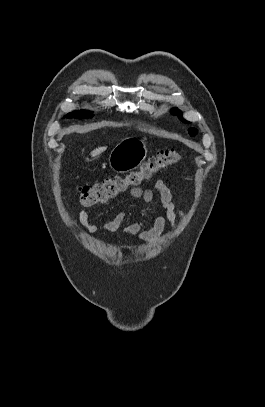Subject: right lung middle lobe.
<instances>
[{
	"mask_svg": "<svg viewBox=\"0 0 265 407\" xmlns=\"http://www.w3.org/2000/svg\"><path fill=\"white\" fill-rule=\"evenodd\" d=\"M64 117L70 118V117H72V114L65 115ZM73 117L78 118V119H87V118L93 117V115H92V112L78 111Z\"/></svg>",
	"mask_w": 265,
	"mask_h": 407,
	"instance_id": "1",
	"label": "right lung middle lobe"
}]
</instances>
